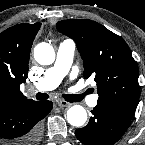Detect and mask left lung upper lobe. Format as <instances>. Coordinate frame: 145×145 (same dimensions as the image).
I'll list each match as a JSON object with an SVG mask.
<instances>
[{"instance_id": "left-lung-upper-lobe-1", "label": "left lung upper lobe", "mask_w": 145, "mask_h": 145, "mask_svg": "<svg viewBox=\"0 0 145 145\" xmlns=\"http://www.w3.org/2000/svg\"><path fill=\"white\" fill-rule=\"evenodd\" d=\"M56 27L76 42L83 76H95L97 106L131 120L139 97V70L124 39L88 19L63 20Z\"/></svg>"}]
</instances>
